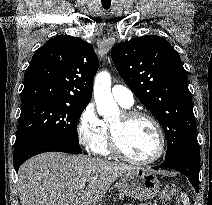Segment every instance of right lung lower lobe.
<instances>
[{
    "mask_svg": "<svg viewBox=\"0 0 212 205\" xmlns=\"http://www.w3.org/2000/svg\"><path fill=\"white\" fill-rule=\"evenodd\" d=\"M51 151L77 154L82 150L79 145L58 138L40 137L30 139L14 146L13 162L16 172L27 159L37 154Z\"/></svg>",
    "mask_w": 212,
    "mask_h": 205,
    "instance_id": "98d812e1",
    "label": "right lung lower lobe"
}]
</instances>
